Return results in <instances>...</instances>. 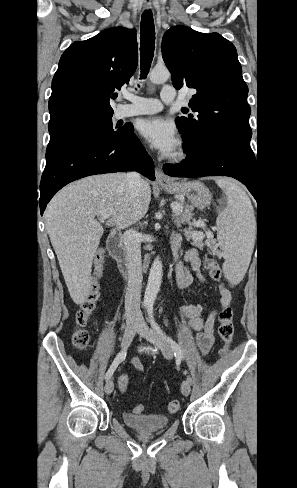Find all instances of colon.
Segmentation results:
<instances>
[{
    "label": "colon",
    "mask_w": 297,
    "mask_h": 488,
    "mask_svg": "<svg viewBox=\"0 0 297 488\" xmlns=\"http://www.w3.org/2000/svg\"><path fill=\"white\" fill-rule=\"evenodd\" d=\"M104 260H105V251L103 249H99L95 257L94 280L91 284V287L87 293L86 298L84 299V301L80 306V309L76 313L77 330L73 335L72 341L74 347L78 350L85 349L89 341V335L87 331L84 329V327L86 326L89 317L93 313L96 303L99 299V295H100L99 279L101 278L103 272ZM204 267L212 279L216 281H220L221 270L217 260L214 257L210 255H206L204 260ZM232 316H233L232 310L229 306L224 307L219 314V336L222 342L221 352L223 354L227 352L234 334ZM128 385H129L128 376L126 374H121L119 376V382L117 384L118 391L121 396L128 395V390L126 388ZM179 408H180V403L178 400H172L167 405V410L171 414L176 413L179 410ZM143 409H144L143 405H136L133 408V412L141 413Z\"/></svg>",
    "instance_id": "5ec220e1"
}]
</instances>
